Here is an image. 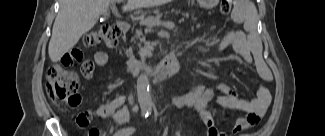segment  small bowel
<instances>
[{"label": "small bowel", "instance_id": "obj_1", "mask_svg": "<svg viewBox=\"0 0 325 136\" xmlns=\"http://www.w3.org/2000/svg\"><path fill=\"white\" fill-rule=\"evenodd\" d=\"M227 46H233L239 55L246 61L250 59V49L252 47L248 36L241 30H230L226 32L215 47V51H220ZM60 64H64L65 69L78 68L82 64V75L90 80L93 77L96 67H104L108 63V55L104 52H96L92 57H84L81 44H72L68 53H63L59 59ZM260 76L270 81L271 77L260 63L257 67ZM192 90L190 93L177 97L172 100V105L178 108L192 107L200 115L204 126L207 129L208 136H226L224 132H219L215 125L216 109L211 106L215 102L225 110H239L245 113L244 117L238 118L232 128V133H240L254 126L266 112L270 102L271 93L268 87L264 85L256 86L255 96L251 99H245L239 96L237 91L224 84H219L213 89H207L197 80H192ZM72 105L79 106L81 99ZM126 96L116 95L112 100L99 105L95 109L81 112L76 121L79 126L86 127L94 117L112 118L117 126H121L129 119L130 108L121 106L125 103ZM94 131V130H91ZM97 136V135H93Z\"/></svg>", "mask_w": 325, "mask_h": 136}]
</instances>
